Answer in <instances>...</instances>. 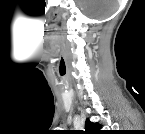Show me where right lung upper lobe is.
<instances>
[{"label": "right lung upper lobe", "instance_id": "cb5924a9", "mask_svg": "<svg viewBox=\"0 0 145 134\" xmlns=\"http://www.w3.org/2000/svg\"><path fill=\"white\" fill-rule=\"evenodd\" d=\"M101 125L98 123H93L89 119H86L85 122V134H101L100 131Z\"/></svg>", "mask_w": 145, "mask_h": 134}]
</instances>
